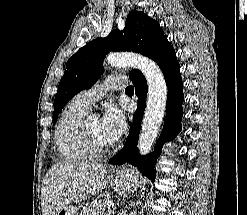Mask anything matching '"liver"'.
<instances>
[{
  "label": "liver",
  "mask_w": 247,
  "mask_h": 215,
  "mask_svg": "<svg viewBox=\"0 0 247 215\" xmlns=\"http://www.w3.org/2000/svg\"><path fill=\"white\" fill-rule=\"evenodd\" d=\"M106 174L104 164H54L42 184V215H56L64 205L95 195L106 184Z\"/></svg>",
  "instance_id": "liver-1"
}]
</instances>
